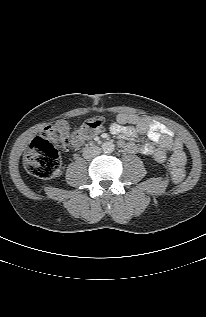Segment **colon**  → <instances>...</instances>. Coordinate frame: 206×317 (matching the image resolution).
Wrapping results in <instances>:
<instances>
[{
    "instance_id": "obj_1",
    "label": "colon",
    "mask_w": 206,
    "mask_h": 317,
    "mask_svg": "<svg viewBox=\"0 0 206 317\" xmlns=\"http://www.w3.org/2000/svg\"><path fill=\"white\" fill-rule=\"evenodd\" d=\"M104 126L102 117L86 120L76 131L75 137L85 140L100 133ZM69 143V127L65 122H57L43 129L35 137L24 156L26 170L42 179H53L61 175L63 162L58 148ZM186 156L183 152L174 153L168 161V167L175 182L185 177Z\"/></svg>"
}]
</instances>
